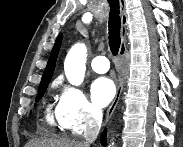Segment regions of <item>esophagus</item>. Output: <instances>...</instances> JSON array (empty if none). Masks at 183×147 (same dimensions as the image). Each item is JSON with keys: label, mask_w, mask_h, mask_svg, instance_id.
<instances>
[{"label": "esophagus", "mask_w": 183, "mask_h": 147, "mask_svg": "<svg viewBox=\"0 0 183 147\" xmlns=\"http://www.w3.org/2000/svg\"><path fill=\"white\" fill-rule=\"evenodd\" d=\"M120 6H121V46H120V50H119V56L121 58V60L123 61L126 55V36H127V15H126V11H125V1L124 0H120ZM122 89H123V84L122 82H119L117 85V91H116V95L110 105V107L107 110V114H106V118H105V122L108 121V119L111 117V115L113 114L114 110L116 109L121 94H122Z\"/></svg>", "instance_id": "esophagus-1"}]
</instances>
